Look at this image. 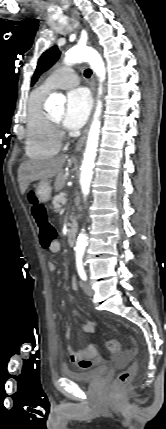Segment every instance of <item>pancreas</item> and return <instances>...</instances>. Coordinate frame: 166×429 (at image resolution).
<instances>
[{"mask_svg": "<svg viewBox=\"0 0 166 429\" xmlns=\"http://www.w3.org/2000/svg\"><path fill=\"white\" fill-rule=\"evenodd\" d=\"M64 198H65V195H63V194H59V195H57V196L54 197L52 203H53V207H54L55 210H60L61 209L62 205H64L62 203V201H63Z\"/></svg>", "mask_w": 166, "mask_h": 429, "instance_id": "pancreas-1", "label": "pancreas"}]
</instances>
